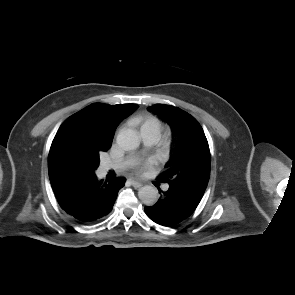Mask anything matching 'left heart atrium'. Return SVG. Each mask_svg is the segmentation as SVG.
I'll list each match as a JSON object with an SVG mask.
<instances>
[{"label": "left heart atrium", "instance_id": "1", "mask_svg": "<svg viewBox=\"0 0 295 295\" xmlns=\"http://www.w3.org/2000/svg\"><path fill=\"white\" fill-rule=\"evenodd\" d=\"M155 164V160L153 158H149L147 160L141 161L136 165V170L139 173H144L146 170L150 169Z\"/></svg>", "mask_w": 295, "mask_h": 295}]
</instances>
